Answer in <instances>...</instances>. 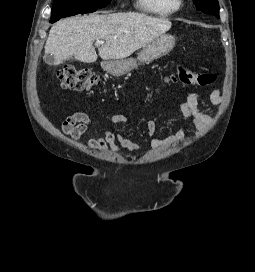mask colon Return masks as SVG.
<instances>
[{"label":"colon","instance_id":"colon-1","mask_svg":"<svg viewBox=\"0 0 255 272\" xmlns=\"http://www.w3.org/2000/svg\"><path fill=\"white\" fill-rule=\"evenodd\" d=\"M60 85L64 89H73L84 92L94 88L99 81L98 75L89 69L64 68L57 75ZM215 74L210 72H196L182 65L176 66L175 73L171 74L167 81L181 83L183 85L207 86L215 81Z\"/></svg>","mask_w":255,"mask_h":272}]
</instances>
